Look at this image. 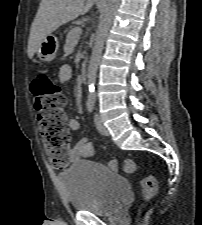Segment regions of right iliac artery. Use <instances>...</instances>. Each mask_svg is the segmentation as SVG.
Segmentation results:
<instances>
[{
    "label": "right iliac artery",
    "instance_id": "82829eb1",
    "mask_svg": "<svg viewBox=\"0 0 202 225\" xmlns=\"http://www.w3.org/2000/svg\"><path fill=\"white\" fill-rule=\"evenodd\" d=\"M87 109L90 113L93 112V109H94V102L93 101L87 102Z\"/></svg>",
    "mask_w": 202,
    "mask_h": 225
}]
</instances>
